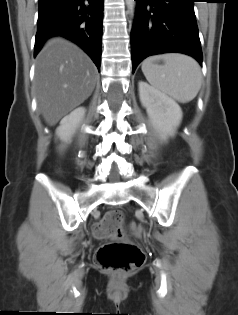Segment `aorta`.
<instances>
[{"label":"aorta","mask_w":238,"mask_h":315,"mask_svg":"<svg viewBox=\"0 0 238 315\" xmlns=\"http://www.w3.org/2000/svg\"><path fill=\"white\" fill-rule=\"evenodd\" d=\"M126 4L131 14L133 15L135 12L136 3L134 2V0H126Z\"/></svg>","instance_id":"762f6f07"}]
</instances>
